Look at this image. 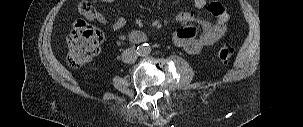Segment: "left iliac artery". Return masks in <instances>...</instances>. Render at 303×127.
I'll return each mask as SVG.
<instances>
[{
  "mask_svg": "<svg viewBox=\"0 0 303 127\" xmlns=\"http://www.w3.org/2000/svg\"><path fill=\"white\" fill-rule=\"evenodd\" d=\"M143 46H144V48H145V50H146V53H147V54L150 53L151 47H150L147 43L143 44Z\"/></svg>",
  "mask_w": 303,
  "mask_h": 127,
  "instance_id": "44dca946",
  "label": "left iliac artery"
}]
</instances>
